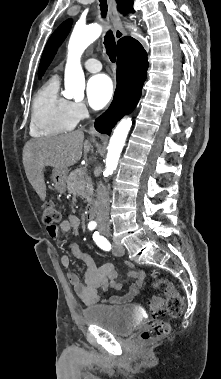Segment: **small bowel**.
<instances>
[{
	"label": "small bowel",
	"instance_id": "obj_1",
	"mask_svg": "<svg viewBox=\"0 0 221 379\" xmlns=\"http://www.w3.org/2000/svg\"><path fill=\"white\" fill-rule=\"evenodd\" d=\"M79 226V218L75 215H68L58 226L54 229H47V231L52 239H57L61 233L72 232L74 235H78ZM69 248L73 256L82 261L86 266L83 282L80 281L78 275L70 268L71 260L67 254L62 255L61 263L67 269L68 280L76 295L85 306H92L102 302L101 293H108L110 288L114 290L122 289V284L118 282L117 279L118 272L112 263H106L97 267L93 258L83 252L78 245L73 243ZM126 265L130 268L128 277L133 279L134 282L126 295L122 297L110 296L108 301L111 303H125L130 301L143 284L145 272L136 268L130 262H126Z\"/></svg>",
	"mask_w": 221,
	"mask_h": 379
}]
</instances>
